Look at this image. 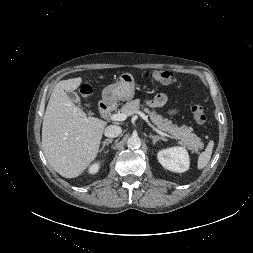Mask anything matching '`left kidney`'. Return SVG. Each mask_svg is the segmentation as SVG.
<instances>
[{"mask_svg":"<svg viewBox=\"0 0 253 253\" xmlns=\"http://www.w3.org/2000/svg\"><path fill=\"white\" fill-rule=\"evenodd\" d=\"M160 164L173 172L182 173L189 169L190 159L184 147H171L158 152Z\"/></svg>","mask_w":253,"mask_h":253,"instance_id":"5707ae66","label":"left kidney"}]
</instances>
